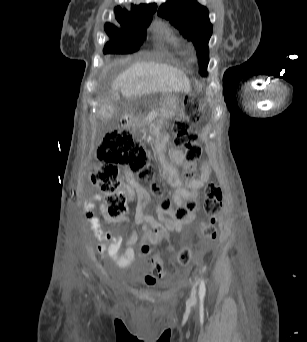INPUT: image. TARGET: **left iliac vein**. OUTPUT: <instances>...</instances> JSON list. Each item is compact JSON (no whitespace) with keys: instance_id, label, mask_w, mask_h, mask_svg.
Wrapping results in <instances>:
<instances>
[{"instance_id":"left-iliac-vein-1","label":"left iliac vein","mask_w":307,"mask_h":342,"mask_svg":"<svg viewBox=\"0 0 307 342\" xmlns=\"http://www.w3.org/2000/svg\"><path fill=\"white\" fill-rule=\"evenodd\" d=\"M190 300H191L192 302H195V300H196V291H195V290L192 291Z\"/></svg>"}]
</instances>
